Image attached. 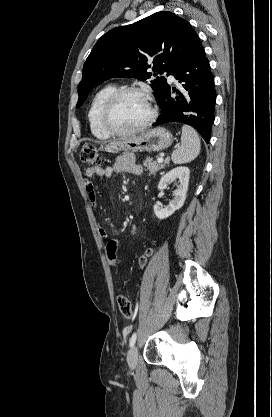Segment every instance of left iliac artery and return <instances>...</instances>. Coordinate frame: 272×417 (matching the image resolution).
Segmentation results:
<instances>
[{"label":"left iliac artery","instance_id":"1","mask_svg":"<svg viewBox=\"0 0 272 417\" xmlns=\"http://www.w3.org/2000/svg\"><path fill=\"white\" fill-rule=\"evenodd\" d=\"M136 333H133V335L131 336V338H130V342H129V346L130 347H133L134 346V344H135V342H136Z\"/></svg>","mask_w":272,"mask_h":417}]
</instances>
